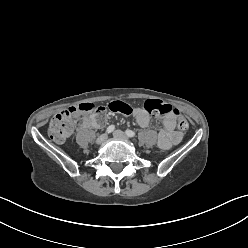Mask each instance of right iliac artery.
I'll use <instances>...</instances> for the list:
<instances>
[{
    "label": "right iliac artery",
    "mask_w": 248,
    "mask_h": 248,
    "mask_svg": "<svg viewBox=\"0 0 248 248\" xmlns=\"http://www.w3.org/2000/svg\"><path fill=\"white\" fill-rule=\"evenodd\" d=\"M114 129H115V126H114V125H110V126L106 129V132H107V133H111V132L114 131Z\"/></svg>",
    "instance_id": "1"
}]
</instances>
